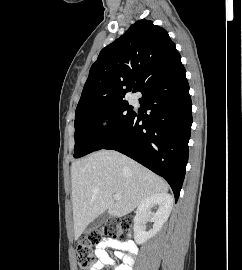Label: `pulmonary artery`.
<instances>
[{"label": "pulmonary artery", "instance_id": "pulmonary-artery-1", "mask_svg": "<svg viewBox=\"0 0 242 270\" xmlns=\"http://www.w3.org/2000/svg\"><path fill=\"white\" fill-rule=\"evenodd\" d=\"M134 99H135V97L133 96V97H132V100H134Z\"/></svg>", "mask_w": 242, "mask_h": 270}]
</instances>
